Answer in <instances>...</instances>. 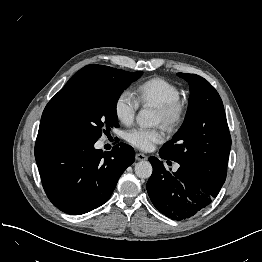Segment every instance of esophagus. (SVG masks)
Returning a JSON list of instances; mask_svg holds the SVG:
<instances>
[{"instance_id":"obj_1","label":"esophagus","mask_w":262,"mask_h":262,"mask_svg":"<svg viewBox=\"0 0 262 262\" xmlns=\"http://www.w3.org/2000/svg\"><path fill=\"white\" fill-rule=\"evenodd\" d=\"M135 159L137 161H143V160H147V156L145 154H142V153H136Z\"/></svg>"}]
</instances>
